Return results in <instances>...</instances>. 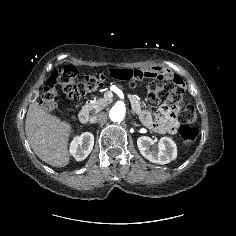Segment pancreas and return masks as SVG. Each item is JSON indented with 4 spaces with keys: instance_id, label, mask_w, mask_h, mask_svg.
Returning a JSON list of instances; mask_svg holds the SVG:
<instances>
[{
    "instance_id": "obj_1",
    "label": "pancreas",
    "mask_w": 236,
    "mask_h": 236,
    "mask_svg": "<svg viewBox=\"0 0 236 236\" xmlns=\"http://www.w3.org/2000/svg\"><path fill=\"white\" fill-rule=\"evenodd\" d=\"M111 99H108L106 97L99 98L97 100H94L91 103H88L85 105V108L88 110H93L95 112H99L102 109H104L108 104L111 103Z\"/></svg>"
}]
</instances>
